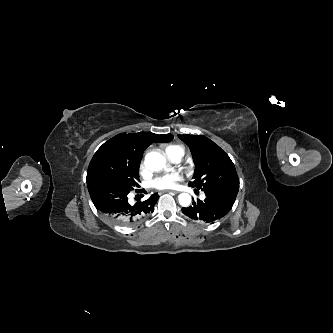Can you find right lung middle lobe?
Returning a JSON list of instances; mask_svg holds the SVG:
<instances>
[{
  "label": "right lung middle lobe",
  "mask_w": 333,
  "mask_h": 333,
  "mask_svg": "<svg viewBox=\"0 0 333 333\" xmlns=\"http://www.w3.org/2000/svg\"><path fill=\"white\" fill-rule=\"evenodd\" d=\"M104 179L128 189L139 187V162L133 160L126 150L113 143H104L93 156L88 170L87 181Z\"/></svg>",
  "instance_id": "dd1d6c3e"
}]
</instances>
